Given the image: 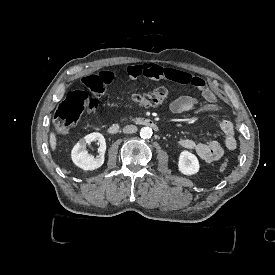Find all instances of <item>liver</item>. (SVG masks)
Listing matches in <instances>:
<instances>
[{
    "mask_svg": "<svg viewBox=\"0 0 275 275\" xmlns=\"http://www.w3.org/2000/svg\"><path fill=\"white\" fill-rule=\"evenodd\" d=\"M49 145H50L51 151L55 153L57 150L58 141H57V135L54 131H50L49 133Z\"/></svg>",
    "mask_w": 275,
    "mask_h": 275,
    "instance_id": "liver-1",
    "label": "liver"
}]
</instances>
